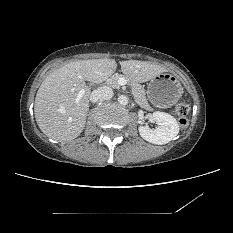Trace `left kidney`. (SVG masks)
<instances>
[{
  "label": "left kidney",
  "mask_w": 233,
  "mask_h": 233,
  "mask_svg": "<svg viewBox=\"0 0 233 233\" xmlns=\"http://www.w3.org/2000/svg\"><path fill=\"white\" fill-rule=\"evenodd\" d=\"M152 118L159 127L151 129L148 126H140L139 134L144 140L163 145L170 142L179 133L178 123L170 114L157 111L153 113Z\"/></svg>",
  "instance_id": "obj_1"
}]
</instances>
